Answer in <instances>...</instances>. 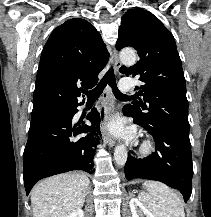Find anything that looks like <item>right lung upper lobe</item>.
<instances>
[{
	"label": "right lung upper lobe",
	"mask_w": 211,
	"mask_h": 217,
	"mask_svg": "<svg viewBox=\"0 0 211 217\" xmlns=\"http://www.w3.org/2000/svg\"><path fill=\"white\" fill-rule=\"evenodd\" d=\"M108 59L100 33L86 20L73 18L55 28L41 54L31 120L79 105L80 91L97 84Z\"/></svg>",
	"instance_id": "right-lung-upper-lobe-1"
}]
</instances>
